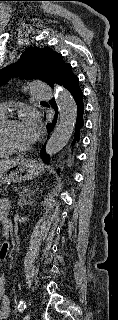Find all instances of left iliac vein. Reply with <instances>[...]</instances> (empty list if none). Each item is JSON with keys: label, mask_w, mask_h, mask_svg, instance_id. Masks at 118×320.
I'll use <instances>...</instances> for the list:
<instances>
[{"label": "left iliac vein", "mask_w": 118, "mask_h": 320, "mask_svg": "<svg viewBox=\"0 0 118 320\" xmlns=\"http://www.w3.org/2000/svg\"><path fill=\"white\" fill-rule=\"evenodd\" d=\"M31 313H28L25 317L24 320H31Z\"/></svg>", "instance_id": "left-iliac-vein-1"}]
</instances>
